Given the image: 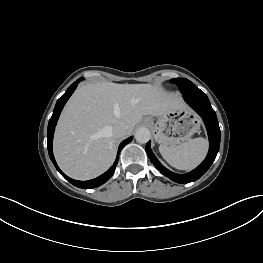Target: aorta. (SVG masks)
I'll use <instances>...</instances> for the list:
<instances>
[{
  "label": "aorta",
  "instance_id": "obj_1",
  "mask_svg": "<svg viewBox=\"0 0 263 263\" xmlns=\"http://www.w3.org/2000/svg\"><path fill=\"white\" fill-rule=\"evenodd\" d=\"M151 138V132L146 127H140L135 132V139L138 143H147Z\"/></svg>",
  "mask_w": 263,
  "mask_h": 263
}]
</instances>
